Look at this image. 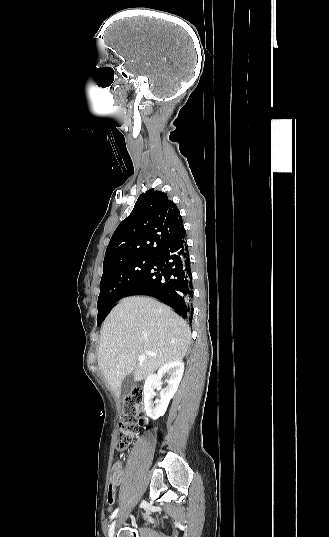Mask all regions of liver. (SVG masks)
Listing matches in <instances>:
<instances>
[{
  "instance_id": "1",
  "label": "liver",
  "mask_w": 329,
  "mask_h": 537,
  "mask_svg": "<svg viewBox=\"0 0 329 537\" xmlns=\"http://www.w3.org/2000/svg\"><path fill=\"white\" fill-rule=\"evenodd\" d=\"M190 340L186 321L170 307L151 297H126L102 326L98 365L119 397L126 375L133 372L135 381H140L169 362L181 361ZM140 355L145 356L143 362Z\"/></svg>"
}]
</instances>
